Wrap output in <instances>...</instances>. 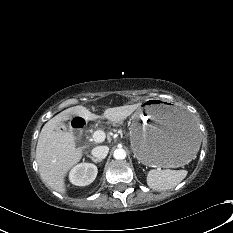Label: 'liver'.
Masks as SVG:
<instances>
[{
    "mask_svg": "<svg viewBox=\"0 0 233 233\" xmlns=\"http://www.w3.org/2000/svg\"><path fill=\"white\" fill-rule=\"evenodd\" d=\"M141 103L108 108L100 117L84 106L68 108L50 119L42 128L36 147V161L42 181L51 189L66 193L65 176L83 155L85 147H76L72 132L58 130L61 121L72 116L86 121L106 118L111 122H120L140 107Z\"/></svg>",
    "mask_w": 233,
    "mask_h": 233,
    "instance_id": "6515ba94",
    "label": "liver"
}]
</instances>
